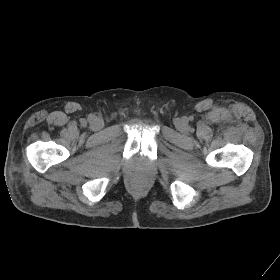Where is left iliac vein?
<instances>
[{
  "instance_id": "left-iliac-vein-1",
  "label": "left iliac vein",
  "mask_w": 280,
  "mask_h": 280,
  "mask_svg": "<svg viewBox=\"0 0 280 280\" xmlns=\"http://www.w3.org/2000/svg\"><path fill=\"white\" fill-rule=\"evenodd\" d=\"M175 124H176V127H177V129H178L179 131L184 132V131L187 130V124H186V122H185L184 120L179 119V120L176 121Z\"/></svg>"
}]
</instances>
